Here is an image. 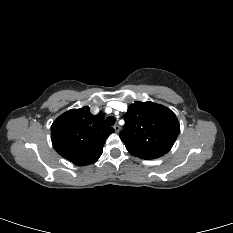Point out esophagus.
Wrapping results in <instances>:
<instances>
[{
    "mask_svg": "<svg viewBox=\"0 0 233 233\" xmlns=\"http://www.w3.org/2000/svg\"><path fill=\"white\" fill-rule=\"evenodd\" d=\"M114 130L118 133L120 131V126L118 124L114 125Z\"/></svg>",
    "mask_w": 233,
    "mask_h": 233,
    "instance_id": "1",
    "label": "esophagus"
}]
</instances>
